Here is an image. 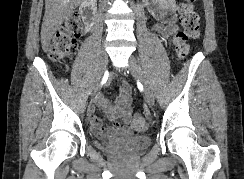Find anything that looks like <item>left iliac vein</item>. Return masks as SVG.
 Listing matches in <instances>:
<instances>
[{"label":"left iliac vein","mask_w":244,"mask_h":179,"mask_svg":"<svg viewBox=\"0 0 244 179\" xmlns=\"http://www.w3.org/2000/svg\"><path fill=\"white\" fill-rule=\"evenodd\" d=\"M128 61H129L130 71L137 79H139L140 83L143 85L144 97L146 102L150 107H153L155 101V95L149 80L147 79L143 69L140 66L139 61L136 60V58L133 56H130Z\"/></svg>","instance_id":"obj_1"}]
</instances>
